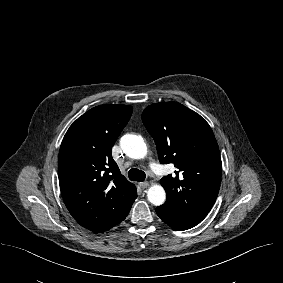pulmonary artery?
I'll use <instances>...</instances> for the list:
<instances>
[{"label": "pulmonary artery", "mask_w": 283, "mask_h": 283, "mask_svg": "<svg viewBox=\"0 0 283 283\" xmlns=\"http://www.w3.org/2000/svg\"><path fill=\"white\" fill-rule=\"evenodd\" d=\"M151 169H152L153 172H155V170H156V164L155 163L151 164Z\"/></svg>", "instance_id": "1"}]
</instances>
